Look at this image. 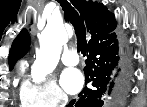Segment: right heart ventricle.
I'll return each instance as SVG.
<instances>
[{"mask_svg":"<svg viewBox=\"0 0 147 107\" xmlns=\"http://www.w3.org/2000/svg\"><path fill=\"white\" fill-rule=\"evenodd\" d=\"M23 104H25V105H27V106L30 105L29 103H24V102H23Z\"/></svg>","mask_w":147,"mask_h":107,"instance_id":"1","label":"right heart ventricle"}]
</instances>
